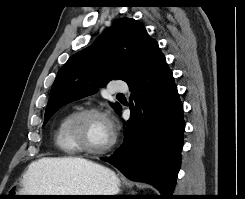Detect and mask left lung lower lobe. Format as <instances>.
<instances>
[{"label":"left lung lower lobe","mask_w":245,"mask_h":199,"mask_svg":"<svg viewBox=\"0 0 245 199\" xmlns=\"http://www.w3.org/2000/svg\"><path fill=\"white\" fill-rule=\"evenodd\" d=\"M128 86L131 114L124 142L102 160L130 180L153 185L162 199H169L180 169L185 124L172 72L160 50Z\"/></svg>","instance_id":"0a47b994"}]
</instances>
